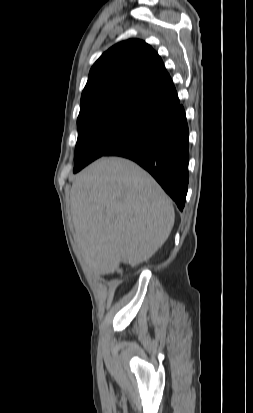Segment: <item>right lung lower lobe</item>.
I'll list each match as a JSON object with an SVG mask.
<instances>
[{
    "label": "right lung lower lobe",
    "mask_w": 253,
    "mask_h": 413,
    "mask_svg": "<svg viewBox=\"0 0 253 413\" xmlns=\"http://www.w3.org/2000/svg\"><path fill=\"white\" fill-rule=\"evenodd\" d=\"M188 124L182 105L157 114L142 131L104 156L131 159L147 170L182 210L188 189Z\"/></svg>",
    "instance_id": "1"
}]
</instances>
